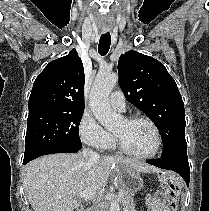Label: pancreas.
<instances>
[{
    "label": "pancreas",
    "mask_w": 209,
    "mask_h": 211,
    "mask_svg": "<svg viewBox=\"0 0 209 211\" xmlns=\"http://www.w3.org/2000/svg\"><path fill=\"white\" fill-rule=\"evenodd\" d=\"M122 192H123V196L121 197V202H122L124 211H136L135 204L131 195L126 191H122ZM104 206H105V203L101 202V200H98L96 202V205L93 211H104L103 210Z\"/></svg>",
    "instance_id": "1"
}]
</instances>
